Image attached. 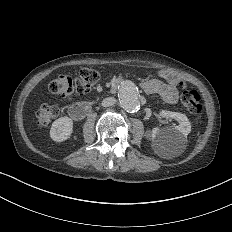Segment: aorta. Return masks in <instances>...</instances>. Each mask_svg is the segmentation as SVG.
<instances>
[{
  "instance_id": "obj_1",
  "label": "aorta",
  "mask_w": 232,
  "mask_h": 232,
  "mask_svg": "<svg viewBox=\"0 0 232 232\" xmlns=\"http://www.w3.org/2000/svg\"><path fill=\"white\" fill-rule=\"evenodd\" d=\"M138 88L131 81H124L118 89V97L122 107L128 112H137L140 109Z\"/></svg>"
}]
</instances>
